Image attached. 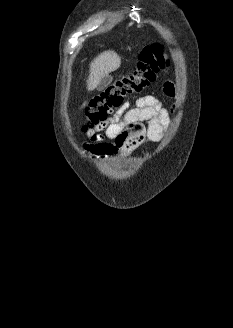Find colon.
<instances>
[{
	"label": "colon",
	"instance_id": "colon-1",
	"mask_svg": "<svg viewBox=\"0 0 233 328\" xmlns=\"http://www.w3.org/2000/svg\"><path fill=\"white\" fill-rule=\"evenodd\" d=\"M170 61L160 44L144 47L135 68L116 79L106 89L95 95L86 108L89 128L107 121L127 96L141 93L154 82L159 71L169 67Z\"/></svg>",
	"mask_w": 233,
	"mask_h": 328
}]
</instances>
